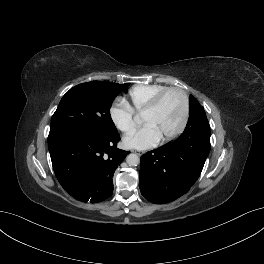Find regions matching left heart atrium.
<instances>
[{"mask_svg": "<svg viewBox=\"0 0 264 264\" xmlns=\"http://www.w3.org/2000/svg\"><path fill=\"white\" fill-rule=\"evenodd\" d=\"M162 139L159 132L151 124H145L142 128L127 135L123 144L130 149H148L156 146Z\"/></svg>", "mask_w": 264, "mask_h": 264, "instance_id": "left-heart-atrium-1", "label": "left heart atrium"}]
</instances>
